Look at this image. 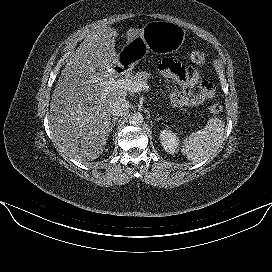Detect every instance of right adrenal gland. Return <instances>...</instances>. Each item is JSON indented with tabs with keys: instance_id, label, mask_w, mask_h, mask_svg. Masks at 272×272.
Instances as JSON below:
<instances>
[{
	"instance_id": "right-adrenal-gland-1",
	"label": "right adrenal gland",
	"mask_w": 272,
	"mask_h": 272,
	"mask_svg": "<svg viewBox=\"0 0 272 272\" xmlns=\"http://www.w3.org/2000/svg\"><path fill=\"white\" fill-rule=\"evenodd\" d=\"M118 120V117H113L111 121V130L115 126L116 121Z\"/></svg>"
}]
</instances>
